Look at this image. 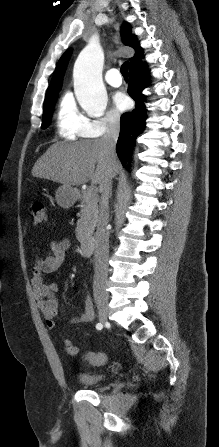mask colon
<instances>
[{
	"label": "colon",
	"mask_w": 219,
	"mask_h": 447,
	"mask_svg": "<svg viewBox=\"0 0 219 447\" xmlns=\"http://www.w3.org/2000/svg\"><path fill=\"white\" fill-rule=\"evenodd\" d=\"M29 215L33 226L43 225L46 220L44 203L39 200L33 201L29 206ZM64 347L71 356H75L78 353V348L69 340L65 341ZM86 360L93 365H103L106 362V356L103 353H87Z\"/></svg>",
	"instance_id": "1"
}]
</instances>
